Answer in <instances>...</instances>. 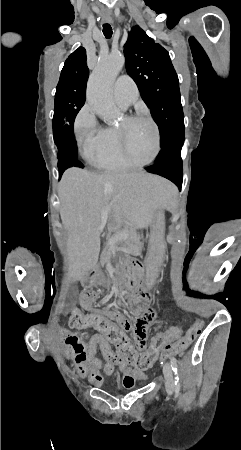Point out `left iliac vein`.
Here are the masks:
<instances>
[{
	"label": "left iliac vein",
	"instance_id": "obj_1",
	"mask_svg": "<svg viewBox=\"0 0 241 450\" xmlns=\"http://www.w3.org/2000/svg\"><path fill=\"white\" fill-rule=\"evenodd\" d=\"M163 373L165 378L166 391L169 395H172L175 389L174 380L172 376V370L169 363L163 365Z\"/></svg>",
	"mask_w": 241,
	"mask_h": 450
}]
</instances>
